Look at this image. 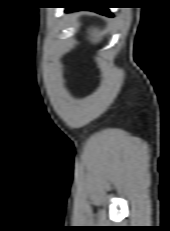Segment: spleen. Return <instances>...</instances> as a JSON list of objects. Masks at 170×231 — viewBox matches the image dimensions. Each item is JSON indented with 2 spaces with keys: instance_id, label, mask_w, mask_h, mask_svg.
I'll list each match as a JSON object with an SVG mask.
<instances>
[{
  "instance_id": "3e777b00",
  "label": "spleen",
  "mask_w": 170,
  "mask_h": 231,
  "mask_svg": "<svg viewBox=\"0 0 170 231\" xmlns=\"http://www.w3.org/2000/svg\"><path fill=\"white\" fill-rule=\"evenodd\" d=\"M89 34H90V39H91L92 42H98V41L101 40L103 32H101L97 28H94V29L90 30Z\"/></svg>"
}]
</instances>
